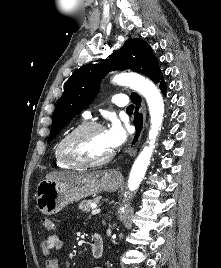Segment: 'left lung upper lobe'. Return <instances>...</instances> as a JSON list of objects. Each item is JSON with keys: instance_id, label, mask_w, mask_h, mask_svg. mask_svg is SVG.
I'll use <instances>...</instances> for the list:
<instances>
[{"instance_id": "left-lung-upper-lobe-1", "label": "left lung upper lobe", "mask_w": 221, "mask_h": 268, "mask_svg": "<svg viewBox=\"0 0 221 268\" xmlns=\"http://www.w3.org/2000/svg\"><path fill=\"white\" fill-rule=\"evenodd\" d=\"M131 69L149 77L154 83L162 78L158 61L150 46L141 39H128L122 49L113 52L99 64H87L66 81L52 122L48 142L79 112L87 107L99 92L102 78L110 71ZM137 95L132 93L131 97Z\"/></svg>"}]
</instances>
